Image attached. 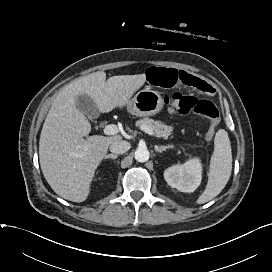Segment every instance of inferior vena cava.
<instances>
[{"label": "inferior vena cava", "mask_w": 272, "mask_h": 272, "mask_svg": "<svg viewBox=\"0 0 272 272\" xmlns=\"http://www.w3.org/2000/svg\"><path fill=\"white\" fill-rule=\"evenodd\" d=\"M131 148V145L127 141H116L110 145V151L114 154H123Z\"/></svg>", "instance_id": "inferior-vena-cava-1"}]
</instances>
